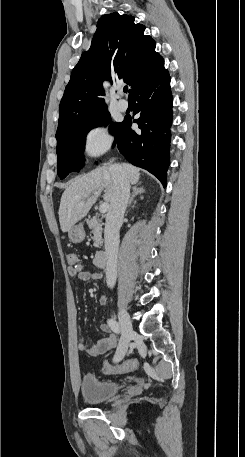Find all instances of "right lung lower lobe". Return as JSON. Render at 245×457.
I'll return each instance as SVG.
<instances>
[{"instance_id":"1","label":"right lung lower lobe","mask_w":245,"mask_h":457,"mask_svg":"<svg viewBox=\"0 0 245 457\" xmlns=\"http://www.w3.org/2000/svg\"><path fill=\"white\" fill-rule=\"evenodd\" d=\"M130 97L137 102L134 114L140 113V117L132 121L128 115L120 123L118 149L130 163L148 170L165 187L173 103L168 71L163 68L137 84ZM132 122L140 131L131 130Z\"/></svg>"}]
</instances>
